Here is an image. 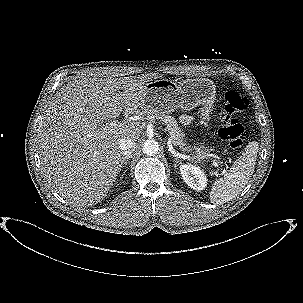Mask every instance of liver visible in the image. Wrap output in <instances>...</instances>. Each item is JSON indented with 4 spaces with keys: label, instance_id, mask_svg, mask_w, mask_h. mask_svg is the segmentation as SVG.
<instances>
[{
    "label": "liver",
    "instance_id": "obj_1",
    "mask_svg": "<svg viewBox=\"0 0 303 303\" xmlns=\"http://www.w3.org/2000/svg\"><path fill=\"white\" fill-rule=\"evenodd\" d=\"M161 76L95 73L54 95L38 132L39 156L49 185L68 204L89 207L107 196L120 172V140L135 141L142 127L131 123L113 132L104 127L123 109L147 113L145 85Z\"/></svg>",
    "mask_w": 303,
    "mask_h": 303
}]
</instances>
